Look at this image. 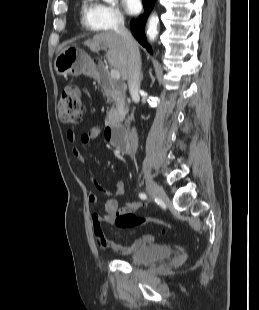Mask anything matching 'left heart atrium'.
<instances>
[{"mask_svg": "<svg viewBox=\"0 0 259 310\" xmlns=\"http://www.w3.org/2000/svg\"><path fill=\"white\" fill-rule=\"evenodd\" d=\"M123 5L127 13L136 14L141 9L140 0H123Z\"/></svg>", "mask_w": 259, "mask_h": 310, "instance_id": "1", "label": "left heart atrium"}]
</instances>
